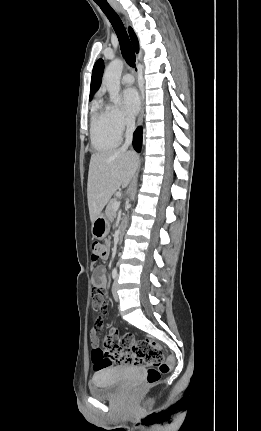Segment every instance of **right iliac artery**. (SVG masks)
Returning <instances> with one entry per match:
<instances>
[{
    "label": "right iliac artery",
    "mask_w": 261,
    "mask_h": 431,
    "mask_svg": "<svg viewBox=\"0 0 261 431\" xmlns=\"http://www.w3.org/2000/svg\"><path fill=\"white\" fill-rule=\"evenodd\" d=\"M112 278L115 280L117 278V270L113 269L112 271Z\"/></svg>",
    "instance_id": "right-iliac-artery-1"
}]
</instances>
